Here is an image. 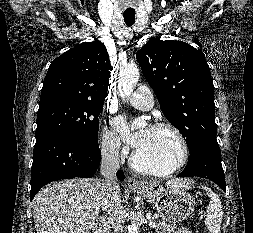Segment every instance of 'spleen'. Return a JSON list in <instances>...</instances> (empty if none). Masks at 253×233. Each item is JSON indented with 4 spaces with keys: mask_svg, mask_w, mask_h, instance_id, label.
<instances>
[{
    "mask_svg": "<svg viewBox=\"0 0 253 233\" xmlns=\"http://www.w3.org/2000/svg\"><path fill=\"white\" fill-rule=\"evenodd\" d=\"M176 187L190 189L188 185L177 184ZM203 190L207 192L210 198V202L207 206V218L205 219V224L211 233H219L221 223H222V204L219 197L210 188L206 186H201Z\"/></svg>",
    "mask_w": 253,
    "mask_h": 233,
    "instance_id": "3e777b00",
    "label": "spleen"
}]
</instances>
